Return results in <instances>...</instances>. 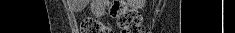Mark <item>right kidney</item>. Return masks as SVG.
Returning a JSON list of instances; mask_svg holds the SVG:
<instances>
[{"instance_id":"ca27d5eb","label":"right kidney","mask_w":235,"mask_h":33,"mask_svg":"<svg viewBox=\"0 0 235 33\" xmlns=\"http://www.w3.org/2000/svg\"><path fill=\"white\" fill-rule=\"evenodd\" d=\"M130 6L134 9H142L144 7V0H132Z\"/></svg>"}]
</instances>
